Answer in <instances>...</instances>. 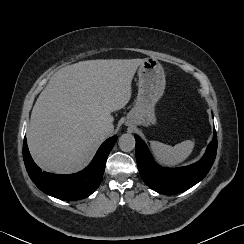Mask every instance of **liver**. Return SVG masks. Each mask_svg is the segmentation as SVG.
I'll list each match as a JSON object with an SVG mask.
<instances>
[{
  "instance_id": "liver-1",
  "label": "liver",
  "mask_w": 244,
  "mask_h": 244,
  "mask_svg": "<svg viewBox=\"0 0 244 244\" xmlns=\"http://www.w3.org/2000/svg\"><path fill=\"white\" fill-rule=\"evenodd\" d=\"M144 59L81 61L58 70L39 95L27 129L29 151L43 170L84 169L105 140L112 112L131 98V82Z\"/></svg>"
}]
</instances>
